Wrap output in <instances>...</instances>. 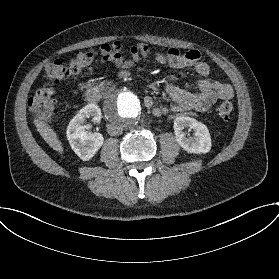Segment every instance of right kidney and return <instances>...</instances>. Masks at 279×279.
Here are the masks:
<instances>
[{"label": "right kidney", "instance_id": "1", "mask_svg": "<svg viewBox=\"0 0 279 279\" xmlns=\"http://www.w3.org/2000/svg\"><path fill=\"white\" fill-rule=\"evenodd\" d=\"M89 117L94 123H100L102 115L98 105L91 103L80 109L70 120L66 131L71 148L83 161L90 160L104 142L101 133L88 131V125L84 123Z\"/></svg>", "mask_w": 279, "mask_h": 279}]
</instances>
